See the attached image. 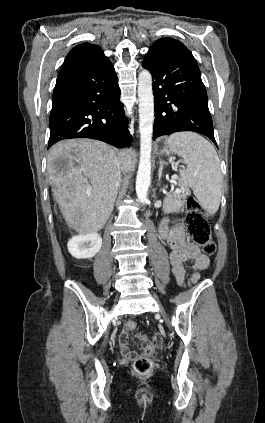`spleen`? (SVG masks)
Here are the masks:
<instances>
[{
  "mask_svg": "<svg viewBox=\"0 0 265 423\" xmlns=\"http://www.w3.org/2000/svg\"><path fill=\"white\" fill-rule=\"evenodd\" d=\"M168 144L187 166L180 170L183 182L193 190L202 208L209 214H215L220 206L223 179L214 146L204 137L189 131L171 134Z\"/></svg>",
  "mask_w": 265,
  "mask_h": 423,
  "instance_id": "obj_1",
  "label": "spleen"
}]
</instances>
